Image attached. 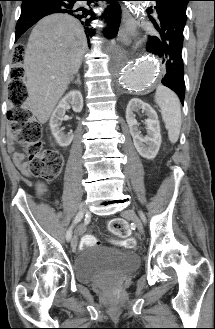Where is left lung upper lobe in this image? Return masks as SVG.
<instances>
[{"instance_id": "left-lung-upper-lobe-1", "label": "left lung upper lobe", "mask_w": 215, "mask_h": 329, "mask_svg": "<svg viewBox=\"0 0 215 329\" xmlns=\"http://www.w3.org/2000/svg\"><path fill=\"white\" fill-rule=\"evenodd\" d=\"M157 3V6L164 7L176 14L183 21L187 20L186 8L187 3L191 0H154Z\"/></svg>"}]
</instances>
